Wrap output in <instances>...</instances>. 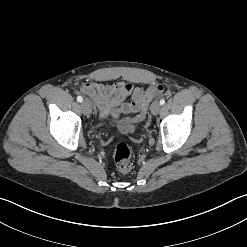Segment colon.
Returning a JSON list of instances; mask_svg holds the SVG:
<instances>
[{"label": "colon", "mask_w": 247, "mask_h": 247, "mask_svg": "<svg viewBox=\"0 0 247 247\" xmlns=\"http://www.w3.org/2000/svg\"><path fill=\"white\" fill-rule=\"evenodd\" d=\"M114 161L120 173H128L132 168V149L123 141H119L114 146Z\"/></svg>", "instance_id": "5ec220e1"}]
</instances>
